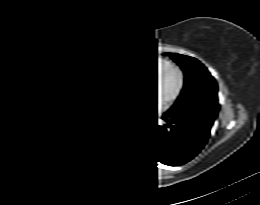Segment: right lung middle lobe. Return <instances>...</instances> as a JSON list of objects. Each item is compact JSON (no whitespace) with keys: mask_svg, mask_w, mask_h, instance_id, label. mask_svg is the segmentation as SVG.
Returning a JSON list of instances; mask_svg holds the SVG:
<instances>
[{"mask_svg":"<svg viewBox=\"0 0 260 205\" xmlns=\"http://www.w3.org/2000/svg\"><path fill=\"white\" fill-rule=\"evenodd\" d=\"M135 55L114 53H92L82 56L61 71L52 83L54 90H71L92 97L104 103L119 101L114 85Z\"/></svg>","mask_w":260,"mask_h":205,"instance_id":"obj_1","label":"right lung middle lobe"}]
</instances>
